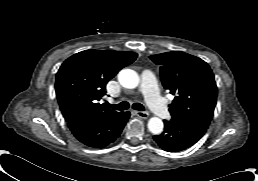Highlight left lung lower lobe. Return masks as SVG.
Returning <instances> with one entry per match:
<instances>
[{
  "label": "left lung lower lobe",
  "mask_w": 258,
  "mask_h": 181,
  "mask_svg": "<svg viewBox=\"0 0 258 181\" xmlns=\"http://www.w3.org/2000/svg\"><path fill=\"white\" fill-rule=\"evenodd\" d=\"M164 125V131L153 138L163 150L168 152H178L192 146L207 130L202 126L174 119L164 120Z\"/></svg>",
  "instance_id": "1"
}]
</instances>
